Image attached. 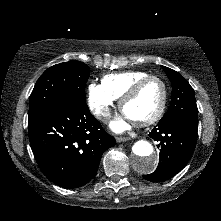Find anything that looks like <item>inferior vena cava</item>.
<instances>
[{"mask_svg":"<svg viewBox=\"0 0 221 221\" xmlns=\"http://www.w3.org/2000/svg\"><path fill=\"white\" fill-rule=\"evenodd\" d=\"M98 118L99 119H109L110 118V111L109 109H104L103 111H101L99 114H98Z\"/></svg>","mask_w":221,"mask_h":221,"instance_id":"obj_1","label":"inferior vena cava"}]
</instances>
